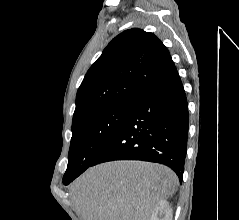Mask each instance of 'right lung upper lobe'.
<instances>
[{
  "label": "right lung upper lobe",
  "instance_id": "obj_1",
  "mask_svg": "<svg viewBox=\"0 0 239 220\" xmlns=\"http://www.w3.org/2000/svg\"><path fill=\"white\" fill-rule=\"evenodd\" d=\"M176 67L152 33L126 30L116 36L90 67L76 96L73 122L111 106L131 104Z\"/></svg>",
  "mask_w": 239,
  "mask_h": 220
}]
</instances>
